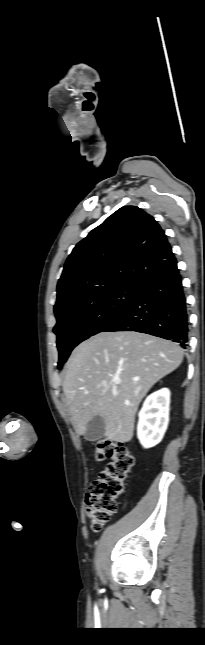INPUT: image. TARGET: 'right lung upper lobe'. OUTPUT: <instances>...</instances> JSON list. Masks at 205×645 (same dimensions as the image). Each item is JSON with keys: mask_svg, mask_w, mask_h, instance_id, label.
<instances>
[{"mask_svg": "<svg viewBox=\"0 0 205 645\" xmlns=\"http://www.w3.org/2000/svg\"><path fill=\"white\" fill-rule=\"evenodd\" d=\"M176 261L164 231L136 206H124L80 241L57 285L55 314L77 300L125 284H138Z\"/></svg>", "mask_w": 205, "mask_h": 645, "instance_id": "cb5924a9", "label": "right lung upper lobe"}]
</instances>
